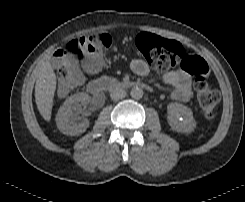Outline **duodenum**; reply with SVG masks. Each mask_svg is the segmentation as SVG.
<instances>
[{
	"label": "duodenum",
	"instance_id": "410a0bca",
	"mask_svg": "<svg viewBox=\"0 0 245 202\" xmlns=\"http://www.w3.org/2000/svg\"><path fill=\"white\" fill-rule=\"evenodd\" d=\"M133 88H142L145 90H150L149 85L144 82H137V81L122 82L109 77L97 78L92 80L88 84V90L92 96H98L104 91L133 89Z\"/></svg>",
	"mask_w": 245,
	"mask_h": 202
}]
</instances>
